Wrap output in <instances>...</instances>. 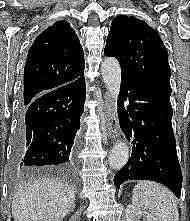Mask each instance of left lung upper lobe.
Returning a JSON list of instances; mask_svg holds the SVG:
<instances>
[{
    "instance_id": "5c2ea615",
    "label": "left lung upper lobe",
    "mask_w": 190,
    "mask_h": 221,
    "mask_svg": "<svg viewBox=\"0 0 190 221\" xmlns=\"http://www.w3.org/2000/svg\"><path fill=\"white\" fill-rule=\"evenodd\" d=\"M104 54L117 58L121 78L171 91L167 49L159 34L144 21L132 16L116 17Z\"/></svg>"
}]
</instances>
